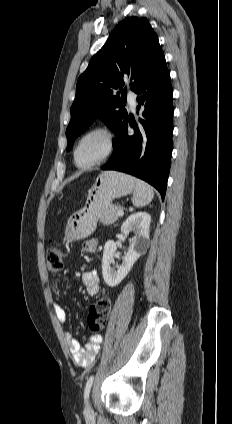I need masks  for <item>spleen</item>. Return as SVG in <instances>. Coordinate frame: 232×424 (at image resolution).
I'll return each instance as SVG.
<instances>
[{"mask_svg": "<svg viewBox=\"0 0 232 424\" xmlns=\"http://www.w3.org/2000/svg\"><path fill=\"white\" fill-rule=\"evenodd\" d=\"M154 198V192L150 185L142 180H135L132 203L135 207H143L149 204Z\"/></svg>", "mask_w": 232, "mask_h": 424, "instance_id": "spleen-1", "label": "spleen"}]
</instances>
